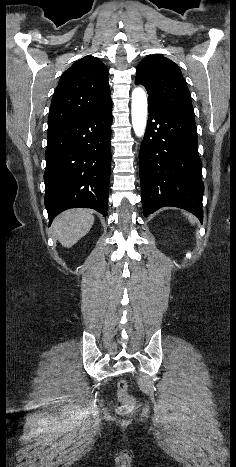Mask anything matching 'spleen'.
Wrapping results in <instances>:
<instances>
[{"label": "spleen", "mask_w": 236, "mask_h": 467, "mask_svg": "<svg viewBox=\"0 0 236 467\" xmlns=\"http://www.w3.org/2000/svg\"><path fill=\"white\" fill-rule=\"evenodd\" d=\"M189 220L191 223H194L192 216L189 215Z\"/></svg>", "instance_id": "3e777b00"}]
</instances>
